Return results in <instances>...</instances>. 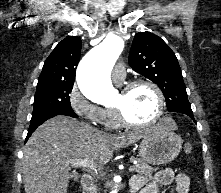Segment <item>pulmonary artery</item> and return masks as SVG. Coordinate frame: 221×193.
Returning a JSON list of instances; mask_svg holds the SVG:
<instances>
[{"label": "pulmonary artery", "instance_id": "pulmonary-artery-1", "mask_svg": "<svg viewBox=\"0 0 221 193\" xmlns=\"http://www.w3.org/2000/svg\"><path fill=\"white\" fill-rule=\"evenodd\" d=\"M126 77V71L124 66L122 65H116L115 68L112 71V79L115 83H121L124 81Z\"/></svg>", "mask_w": 221, "mask_h": 193}]
</instances>
